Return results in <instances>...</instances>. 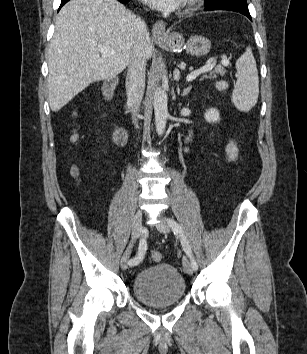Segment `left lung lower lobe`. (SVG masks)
Here are the masks:
<instances>
[{"mask_svg":"<svg viewBox=\"0 0 307 354\" xmlns=\"http://www.w3.org/2000/svg\"><path fill=\"white\" fill-rule=\"evenodd\" d=\"M205 10H207V11H212V10L235 11V12H239V13L247 16L250 20H252L249 10H248V5L217 4V5L207 6Z\"/></svg>","mask_w":307,"mask_h":354,"instance_id":"1","label":"left lung lower lobe"}]
</instances>
